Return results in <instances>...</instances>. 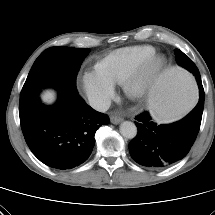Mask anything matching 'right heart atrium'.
<instances>
[{
  "instance_id": "d8ad5b80",
  "label": "right heart atrium",
  "mask_w": 215,
  "mask_h": 215,
  "mask_svg": "<svg viewBox=\"0 0 215 215\" xmlns=\"http://www.w3.org/2000/svg\"><path fill=\"white\" fill-rule=\"evenodd\" d=\"M78 87L89 103L98 110L107 108L115 94L114 84L96 69L84 71L78 78Z\"/></svg>"
}]
</instances>
